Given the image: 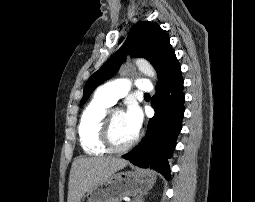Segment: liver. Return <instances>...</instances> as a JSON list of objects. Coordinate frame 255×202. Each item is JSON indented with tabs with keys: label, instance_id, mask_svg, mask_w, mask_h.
Listing matches in <instances>:
<instances>
[{
	"label": "liver",
	"instance_id": "1",
	"mask_svg": "<svg viewBox=\"0 0 255 202\" xmlns=\"http://www.w3.org/2000/svg\"><path fill=\"white\" fill-rule=\"evenodd\" d=\"M128 161L115 157L77 158L71 166L67 202H80L91 187L123 169Z\"/></svg>",
	"mask_w": 255,
	"mask_h": 202
}]
</instances>
